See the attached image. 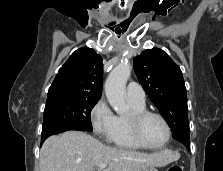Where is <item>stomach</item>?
Segmentation results:
<instances>
[{"mask_svg": "<svg viewBox=\"0 0 223 171\" xmlns=\"http://www.w3.org/2000/svg\"><path fill=\"white\" fill-rule=\"evenodd\" d=\"M142 171H158V170L154 166H151L143 169Z\"/></svg>", "mask_w": 223, "mask_h": 171, "instance_id": "1", "label": "stomach"}]
</instances>
